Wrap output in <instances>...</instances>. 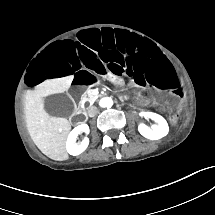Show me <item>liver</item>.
Returning <instances> with one entry per match:
<instances>
[{
    "label": "liver",
    "instance_id": "1",
    "mask_svg": "<svg viewBox=\"0 0 215 215\" xmlns=\"http://www.w3.org/2000/svg\"><path fill=\"white\" fill-rule=\"evenodd\" d=\"M73 76L47 80L25 97L26 126L34 144L40 151L54 160L68 159L66 141L71 125L66 118L49 116L43 109L42 96L69 89Z\"/></svg>",
    "mask_w": 215,
    "mask_h": 215
}]
</instances>
